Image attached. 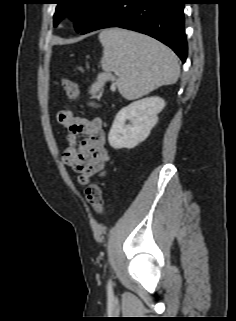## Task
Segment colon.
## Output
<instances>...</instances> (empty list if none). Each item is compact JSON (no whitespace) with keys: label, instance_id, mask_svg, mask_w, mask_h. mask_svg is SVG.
<instances>
[{"label":"colon","instance_id":"colon-1","mask_svg":"<svg viewBox=\"0 0 236 321\" xmlns=\"http://www.w3.org/2000/svg\"><path fill=\"white\" fill-rule=\"evenodd\" d=\"M57 83L71 100L77 99L78 86L75 82L66 77H62ZM85 197L94 212L99 216L102 215L104 211V198L101 186L96 182L89 183L85 189Z\"/></svg>","mask_w":236,"mask_h":321}]
</instances>
